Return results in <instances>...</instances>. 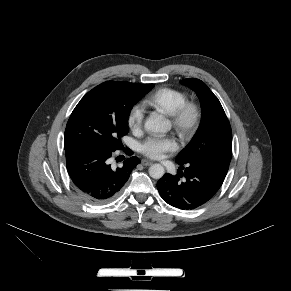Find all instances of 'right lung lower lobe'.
<instances>
[{"label":"right lung lower lobe","mask_w":291,"mask_h":291,"mask_svg":"<svg viewBox=\"0 0 291 291\" xmlns=\"http://www.w3.org/2000/svg\"><path fill=\"white\" fill-rule=\"evenodd\" d=\"M115 150L87 145L65 150L67 171L85 201L102 204L114 199L140 162L134 156L126 159L123 166L113 168L109 159Z\"/></svg>","instance_id":"right-lung-lower-lobe-1"}]
</instances>
